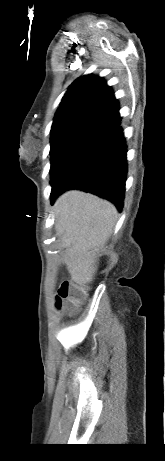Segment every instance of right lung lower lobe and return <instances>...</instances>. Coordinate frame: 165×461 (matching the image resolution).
I'll use <instances>...</instances> for the list:
<instances>
[{
    "mask_svg": "<svg viewBox=\"0 0 165 461\" xmlns=\"http://www.w3.org/2000/svg\"><path fill=\"white\" fill-rule=\"evenodd\" d=\"M121 117L94 133L51 184V203L64 191L80 189L113 202L121 211L127 177V147Z\"/></svg>",
    "mask_w": 165,
    "mask_h": 461,
    "instance_id": "98d812e1",
    "label": "right lung lower lobe"
}]
</instances>
